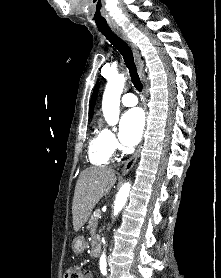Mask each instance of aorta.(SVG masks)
Wrapping results in <instances>:
<instances>
[{
    "mask_svg": "<svg viewBox=\"0 0 221 278\" xmlns=\"http://www.w3.org/2000/svg\"><path fill=\"white\" fill-rule=\"evenodd\" d=\"M126 82V77L124 74H117L108 79L103 100H102V110L105 120L110 124L117 122L119 117V106H120V96ZM131 184L126 182L122 185L117 193L116 200L114 202L113 215L117 216L118 213L125 206L127 198L129 196ZM106 255L103 252L100 261H105Z\"/></svg>",
    "mask_w": 221,
    "mask_h": 278,
    "instance_id": "1",
    "label": "aorta"
}]
</instances>
